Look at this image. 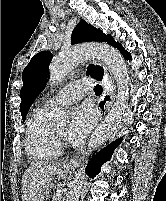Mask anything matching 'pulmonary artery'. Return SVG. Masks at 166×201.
Listing matches in <instances>:
<instances>
[{
    "label": "pulmonary artery",
    "mask_w": 166,
    "mask_h": 201,
    "mask_svg": "<svg viewBox=\"0 0 166 201\" xmlns=\"http://www.w3.org/2000/svg\"><path fill=\"white\" fill-rule=\"evenodd\" d=\"M92 87V82L88 79H80L69 83L59 90L54 96L46 100V106L68 105L79 101L84 91Z\"/></svg>",
    "instance_id": "pulmonary-artery-1"
}]
</instances>
